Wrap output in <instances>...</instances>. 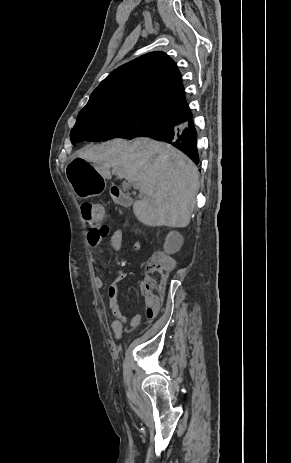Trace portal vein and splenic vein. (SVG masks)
Returning a JSON list of instances; mask_svg holds the SVG:
<instances>
[{"mask_svg":"<svg viewBox=\"0 0 291 463\" xmlns=\"http://www.w3.org/2000/svg\"><path fill=\"white\" fill-rule=\"evenodd\" d=\"M137 186H138L137 183H133L134 188H137Z\"/></svg>","mask_w":291,"mask_h":463,"instance_id":"obj_1","label":"portal vein and splenic vein"}]
</instances>
